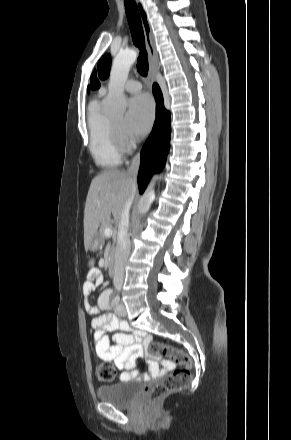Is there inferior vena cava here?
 Listing matches in <instances>:
<instances>
[{"instance_id":"602c4592","label":"inferior vena cava","mask_w":291,"mask_h":440,"mask_svg":"<svg viewBox=\"0 0 291 440\" xmlns=\"http://www.w3.org/2000/svg\"><path fill=\"white\" fill-rule=\"evenodd\" d=\"M139 163H140V157L139 155H136L133 158L130 167L127 169V173L132 177L133 186H132V194L128 199V202L122 212L118 227V239H117V247L115 254V267H114V278H113L114 287L118 292L121 291L123 285L125 265L130 252V237L128 235L129 211L137 188V173H138Z\"/></svg>"}]
</instances>
